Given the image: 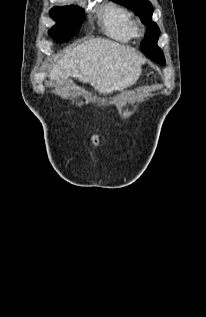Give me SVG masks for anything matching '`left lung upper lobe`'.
Returning <instances> with one entry per match:
<instances>
[{
    "label": "left lung upper lobe",
    "instance_id": "left-lung-upper-lobe-1",
    "mask_svg": "<svg viewBox=\"0 0 206 317\" xmlns=\"http://www.w3.org/2000/svg\"><path fill=\"white\" fill-rule=\"evenodd\" d=\"M118 4L124 5L129 8L136 15L141 18L142 23L146 24L147 30L145 34V38L141 43V50L144 52L146 56L148 53L152 52L155 55L152 60L157 63L164 65L165 59L162 50L157 46V40L159 37V28L156 23L152 21L153 14V6L147 0H113Z\"/></svg>",
    "mask_w": 206,
    "mask_h": 317
}]
</instances>
